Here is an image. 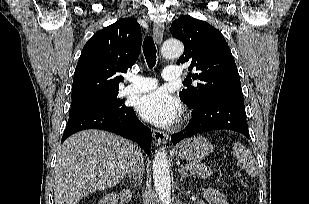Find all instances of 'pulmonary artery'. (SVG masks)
I'll return each mask as SVG.
<instances>
[{
	"instance_id": "e3ab8cb5",
	"label": "pulmonary artery",
	"mask_w": 309,
	"mask_h": 204,
	"mask_svg": "<svg viewBox=\"0 0 309 204\" xmlns=\"http://www.w3.org/2000/svg\"><path fill=\"white\" fill-rule=\"evenodd\" d=\"M183 76L182 71L177 67H168L163 72V79L166 81L179 80ZM158 81L151 77L137 76L131 79V84L123 89V94H140L155 89Z\"/></svg>"
}]
</instances>
